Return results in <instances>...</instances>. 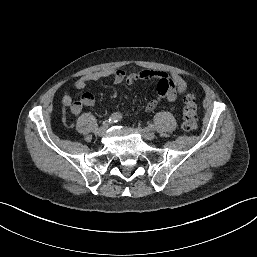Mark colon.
Segmentation results:
<instances>
[{
    "label": "colon",
    "mask_w": 257,
    "mask_h": 257,
    "mask_svg": "<svg viewBox=\"0 0 257 257\" xmlns=\"http://www.w3.org/2000/svg\"><path fill=\"white\" fill-rule=\"evenodd\" d=\"M183 102L184 106L182 128L184 131L190 132L195 130L197 127V105L195 98L191 94L185 95Z\"/></svg>",
    "instance_id": "colon-1"
}]
</instances>
